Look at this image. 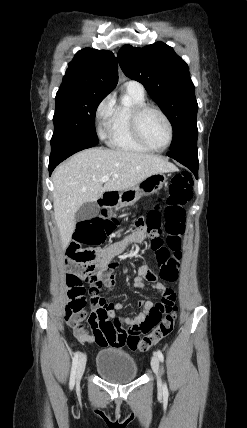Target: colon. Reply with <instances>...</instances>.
Returning <instances> with one entry per match:
<instances>
[{
  "label": "colon",
  "instance_id": "1",
  "mask_svg": "<svg viewBox=\"0 0 247 428\" xmlns=\"http://www.w3.org/2000/svg\"><path fill=\"white\" fill-rule=\"evenodd\" d=\"M193 179L189 173L182 172L171 179L166 207L164 227L157 208H150L147 217H88L82 222L74 236L75 244L70 247L68 256L76 274L67 277L69 302L65 309V320L77 335L88 333L82 321L86 316L85 289L81 278L92 288L101 292L107 278V270L99 263L97 254L89 249H82L79 243L94 244L99 239L114 237V232H121L124 226L134 224L144 227L152 235L151 249L155 253V262L160 277L167 282H175L179 277V260L181 259L182 235L185 230V205L192 197ZM114 211V206H109ZM166 234V239L162 233ZM93 311L88 319L95 341L102 339L112 346H127L133 351H146L152 345L167 337L173 330L177 307L171 298H154L137 301L139 309L143 305L149 309V318H138L133 326L119 320H110L108 308L101 303H93ZM164 316V317H163ZM144 335V336H140Z\"/></svg>",
  "mask_w": 247,
  "mask_h": 428
}]
</instances>
